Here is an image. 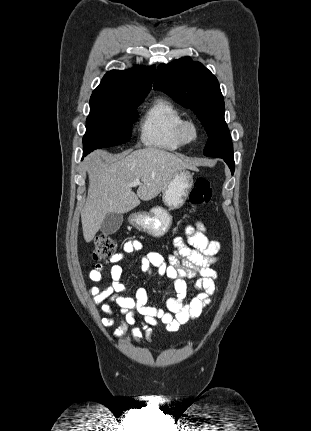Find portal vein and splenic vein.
<instances>
[{
  "instance_id": "1",
  "label": "portal vein and splenic vein",
  "mask_w": 311,
  "mask_h": 431,
  "mask_svg": "<svg viewBox=\"0 0 311 431\" xmlns=\"http://www.w3.org/2000/svg\"><path fill=\"white\" fill-rule=\"evenodd\" d=\"M128 186H131V188H136V186H141L140 180H133L131 184H128Z\"/></svg>"
}]
</instances>
